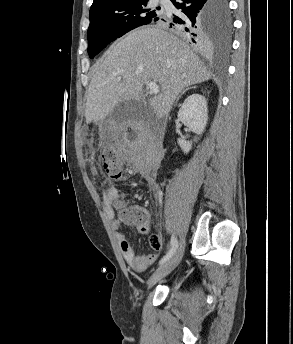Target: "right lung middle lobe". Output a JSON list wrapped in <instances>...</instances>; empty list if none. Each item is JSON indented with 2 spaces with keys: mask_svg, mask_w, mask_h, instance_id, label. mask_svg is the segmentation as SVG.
Instances as JSON below:
<instances>
[{
  "mask_svg": "<svg viewBox=\"0 0 293 344\" xmlns=\"http://www.w3.org/2000/svg\"><path fill=\"white\" fill-rule=\"evenodd\" d=\"M228 0H216L213 21L219 30L217 42L228 43L230 13ZM148 0H118L90 10L88 28V54L94 58L110 42L130 30L159 20L160 7L146 9Z\"/></svg>",
  "mask_w": 293,
  "mask_h": 344,
  "instance_id": "dd1d6c3e",
  "label": "right lung middle lobe"
}]
</instances>
